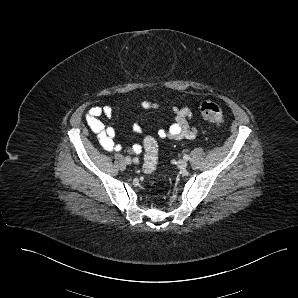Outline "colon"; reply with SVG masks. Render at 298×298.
I'll return each mask as SVG.
<instances>
[{
    "instance_id": "1",
    "label": "colon",
    "mask_w": 298,
    "mask_h": 298,
    "mask_svg": "<svg viewBox=\"0 0 298 298\" xmlns=\"http://www.w3.org/2000/svg\"><path fill=\"white\" fill-rule=\"evenodd\" d=\"M201 114L205 121L211 124H219L223 120L222 107L211 101H206L201 105ZM158 165V144L154 137L148 136L144 140L143 169L152 172Z\"/></svg>"
}]
</instances>
